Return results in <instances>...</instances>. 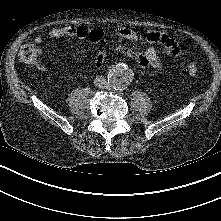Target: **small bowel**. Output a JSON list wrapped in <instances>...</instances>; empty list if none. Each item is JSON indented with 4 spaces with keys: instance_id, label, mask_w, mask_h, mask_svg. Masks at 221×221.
Wrapping results in <instances>:
<instances>
[{
    "instance_id": "small-bowel-1",
    "label": "small bowel",
    "mask_w": 221,
    "mask_h": 221,
    "mask_svg": "<svg viewBox=\"0 0 221 221\" xmlns=\"http://www.w3.org/2000/svg\"><path fill=\"white\" fill-rule=\"evenodd\" d=\"M114 34L123 40L128 41H147L150 46L144 51H138L134 48L118 44L115 46V50L126 55L136 62L141 68H155L159 69L163 63L158 55V48L164 49L169 55H177L180 51L178 44L167 34L149 31L145 34H141L137 31L128 28H117L114 30ZM48 36L52 39H58L63 37L77 38L80 40H89L97 46V54L94 57L93 65L96 68H100L106 57L104 35L100 30L87 29L83 26H70L64 25L61 27L52 28L48 32ZM43 42L42 36H36L34 43L40 45ZM39 50V49H38ZM40 53V50H39ZM36 68L40 71H45L46 67L40 62L36 63Z\"/></svg>"
}]
</instances>
